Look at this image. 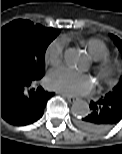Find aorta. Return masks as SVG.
<instances>
[{"mask_svg": "<svg viewBox=\"0 0 122 154\" xmlns=\"http://www.w3.org/2000/svg\"><path fill=\"white\" fill-rule=\"evenodd\" d=\"M82 60H83V56L79 50L75 48H70L65 51L64 61L69 67H72V68L77 67ZM71 112L76 117H84L89 114L90 108L86 101L77 100L73 102L71 107Z\"/></svg>", "mask_w": 122, "mask_h": 154, "instance_id": "aorta-1", "label": "aorta"}]
</instances>
